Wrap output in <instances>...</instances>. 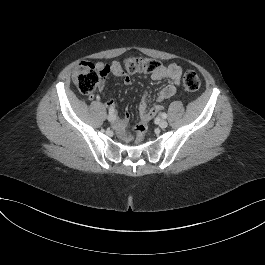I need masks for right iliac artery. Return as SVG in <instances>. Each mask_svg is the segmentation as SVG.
<instances>
[{
  "mask_svg": "<svg viewBox=\"0 0 265 265\" xmlns=\"http://www.w3.org/2000/svg\"><path fill=\"white\" fill-rule=\"evenodd\" d=\"M109 113H113V110L110 109V110H109Z\"/></svg>",
  "mask_w": 265,
  "mask_h": 265,
  "instance_id": "1",
  "label": "right iliac artery"
}]
</instances>
